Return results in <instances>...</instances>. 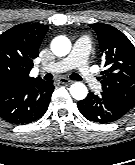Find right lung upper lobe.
Here are the masks:
<instances>
[{
  "mask_svg": "<svg viewBox=\"0 0 135 165\" xmlns=\"http://www.w3.org/2000/svg\"><path fill=\"white\" fill-rule=\"evenodd\" d=\"M47 31L48 26L40 23L21 24L0 35V87L34 82L29 72Z\"/></svg>",
  "mask_w": 135,
  "mask_h": 165,
  "instance_id": "obj_1",
  "label": "right lung upper lobe"
}]
</instances>
